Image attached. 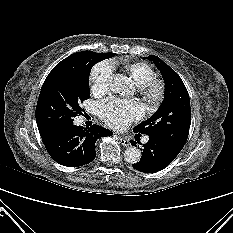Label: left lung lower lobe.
Here are the masks:
<instances>
[{
  "label": "left lung lower lobe",
  "instance_id": "left-lung-lower-lobe-1",
  "mask_svg": "<svg viewBox=\"0 0 233 233\" xmlns=\"http://www.w3.org/2000/svg\"><path fill=\"white\" fill-rule=\"evenodd\" d=\"M130 142L133 146H136V141ZM143 147L142 157L139 162L133 164V167L145 173H154L164 169L179 154V151L155 137H149V141Z\"/></svg>",
  "mask_w": 233,
  "mask_h": 233
}]
</instances>
